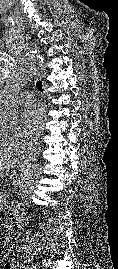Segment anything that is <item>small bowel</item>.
<instances>
[{"mask_svg": "<svg viewBox=\"0 0 118 269\" xmlns=\"http://www.w3.org/2000/svg\"><path fill=\"white\" fill-rule=\"evenodd\" d=\"M4 242H5V243L9 242V238L6 237V238L4 239ZM0 269H1V267H0Z\"/></svg>", "mask_w": 118, "mask_h": 269, "instance_id": "c3829d8e", "label": "small bowel"}]
</instances>
